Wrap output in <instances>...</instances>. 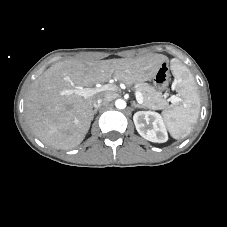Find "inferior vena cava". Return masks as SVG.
<instances>
[{
	"label": "inferior vena cava",
	"instance_id": "inferior-vena-cava-1",
	"mask_svg": "<svg viewBox=\"0 0 227 227\" xmlns=\"http://www.w3.org/2000/svg\"><path fill=\"white\" fill-rule=\"evenodd\" d=\"M113 99V95L110 93L105 94L103 97H99L94 103L95 108H99L104 104L109 103Z\"/></svg>",
	"mask_w": 227,
	"mask_h": 227
}]
</instances>
